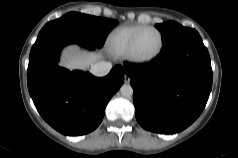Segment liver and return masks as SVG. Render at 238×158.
Segmentation results:
<instances>
[{"label": "liver", "mask_w": 238, "mask_h": 158, "mask_svg": "<svg viewBox=\"0 0 238 158\" xmlns=\"http://www.w3.org/2000/svg\"><path fill=\"white\" fill-rule=\"evenodd\" d=\"M101 58H102L101 52H95L91 54L83 52L82 54V52L79 49L70 47L64 52V57L61 65L70 70L74 69L85 70L95 61Z\"/></svg>", "instance_id": "liver-1"}]
</instances>
